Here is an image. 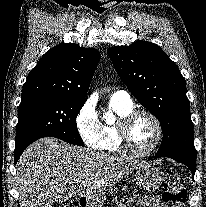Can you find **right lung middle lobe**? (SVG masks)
<instances>
[{"mask_svg": "<svg viewBox=\"0 0 206 207\" xmlns=\"http://www.w3.org/2000/svg\"><path fill=\"white\" fill-rule=\"evenodd\" d=\"M84 103L53 96H39L21 101L15 149L26 148L46 136L83 146V140L77 130L76 117Z\"/></svg>", "mask_w": 206, "mask_h": 207, "instance_id": "1", "label": "right lung middle lobe"}]
</instances>
